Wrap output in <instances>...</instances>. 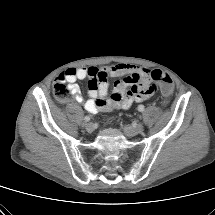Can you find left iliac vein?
Segmentation results:
<instances>
[{"label":"left iliac vein","instance_id":"1","mask_svg":"<svg viewBox=\"0 0 215 215\" xmlns=\"http://www.w3.org/2000/svg\"><path fill=\"white\" fill-rule=\"evenodd\" d=\"M127 136H134L143 131V123H138L135 126L125 125L123 128Z\"/></svg>","mask_w":215,"mask_h":215}]
</instances>
